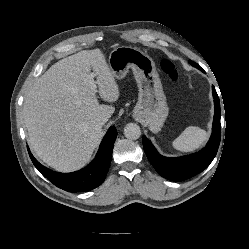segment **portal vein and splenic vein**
Instances as JSON below:
<instances>
[{
    "mask_svg": "<svg viewBox=\"0 0 249 249\" xmlns=\"http://www.w3.org/2000/svg\"><path fill=\"white\" fill-rule=\"evenodd\" d=\"M91 88H92V90L94 91V92H96V85H95V83H91Z\"/></svg>",
    "mask_w": 249,
    "mask_h": 249,
    "instance_id": "18ae733b",
    "label": "portal vein and splenic vein"
}]
</instances>
